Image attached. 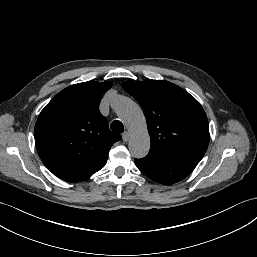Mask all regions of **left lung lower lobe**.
<instances>
[{"label":"left lung lower lobe","mask_w":257,"mask_h":257,"mask_svg":"<svg viewBox=\"0 0 257 257\" xmlns=\"http://www.w3.org/2000/svg\"><path fill=\"white\" fill-rule=\"evenodd\" d=\"M138 169L155 182L165 185L176 183L189 175L196 162L161 163L148 159H135Z\"/></svg>","instance_id":"1"}]
</instances>
